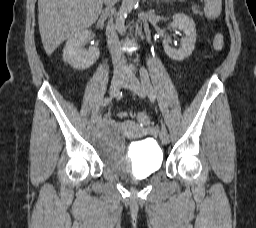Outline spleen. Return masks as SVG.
Returning a JSON list of instances; mask_svg holds the SVG:
<instances>
[{
	"label": "spleen",
	"mask_w": 256,
	"mask_h": 228,
	"mask_svg": "<svg viewBox=\"0 0 256 228\" xmlns=\"http://www.w3.org/2000/svg\"><path fill=\"white\" fill-rule=\"evenodd\" d=\"M204 13L208 19H216L222 11V0H204Z\"/></svg>",
	"instance_id": "3e777b00"
}]
</instances>
